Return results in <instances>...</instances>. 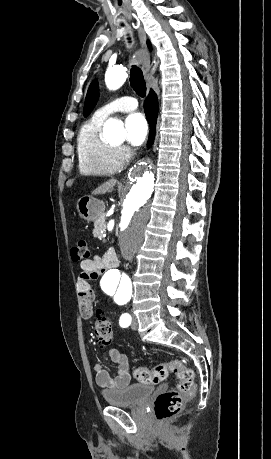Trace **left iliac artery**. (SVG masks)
Segmentation results:
<instances>
[{"label":"left iliac artery","instance_id":"obj_1","mask_svg":"<svg viewBox=\"0 0 271 459\" xmlns=\"http://www.w3.org/2000/svg\"><path fill=\"white\" fill-rule=\"evenodd\" d=\"M132 318L128 313H124L121 315L119 324L121 327L125 328L131 324Z\"/></svg>","mask_w":271,"mask_h":459}]
</instances>
